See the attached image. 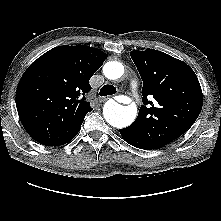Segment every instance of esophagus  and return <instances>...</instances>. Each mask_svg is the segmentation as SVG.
<instances>
[{
	"mask_svg": "<svg viewBox=\"0 0 221 221\" xmlns=\"http://www.w3.org/2000/svg\"><path fill=\"white\" fill-rule=\"evenodd\" d=\"M107 99H108L107 97L99 98V102H105Z\"/></svg>",
	"mask_w": 221,
	"mask_h": 221,
	"instance_id": "34e87169",
	"label": "esophagus"
}]
</instances>
